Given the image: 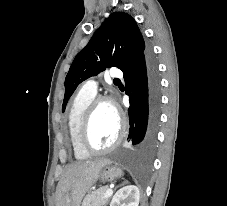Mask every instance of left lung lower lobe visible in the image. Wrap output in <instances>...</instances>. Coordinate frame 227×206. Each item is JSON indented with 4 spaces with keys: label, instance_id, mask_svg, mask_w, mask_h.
<instances>
[{
    "label": "left lung lower lobe",
    "instance_id": "obj_1",
    "mask_svg": "<svg viewBox=\"0 0 227 206\" xmlns=\"http://www.w3.org/2000/svg\"><path fill=\"white\" fill-rule=\"evenodd\" d=\"M123 73L130 99L129 149L145 154L156 142L160 108V82L150 50Z\"/></svg>",
    "mask_w": 227,
    "mask_h": 206
}]
</instances>
